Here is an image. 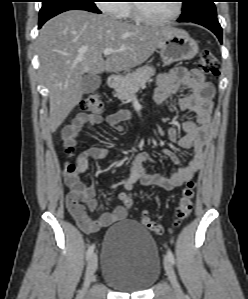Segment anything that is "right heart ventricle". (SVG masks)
I'll use <instances>...</instances> for the list:
<instances>
[{"mask_svg":"<svg viewBox=\"0 0 248 299\" xmlns=\"http://www.w3.org/2000/svg\"><path fill=\"white\" fill-rule=\"evenodd\" d=\"M122 7L124 9V13L121 14L125 17H128V18H131V19H134L135 16H134V13H133V9H132V6L129 5V4H122Z\"/></svg>","mask_w":248,"mask_h":299,"instance_id":"e07e8e85","label":"right heart ventricle"}]
</instances>
